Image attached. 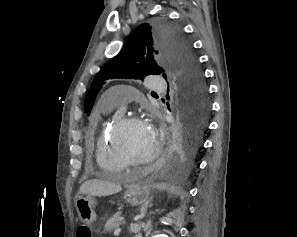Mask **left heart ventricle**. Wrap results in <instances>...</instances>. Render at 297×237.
I'll list each match as a JSON object with an SVG mask.
<instances>
[{
    "label": "left heart ventricle",
    "mask_w": 297,
    "mask_h": 237,
    "mask_svg": "<svg viewBox=\"0 0 297 237\" xmlns=\"http://www.w3.org/2000/svg\"><path fill=\"white\" fill-rule=\"evenodd\" d=\"M119 142L133 159H145L156 146V138L145 122L131 123L120 133Z\"/></svg>",
    "instance_id": "obj_1"
}]
</instances>
